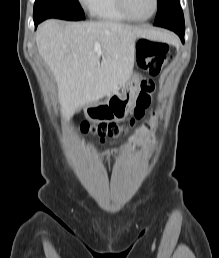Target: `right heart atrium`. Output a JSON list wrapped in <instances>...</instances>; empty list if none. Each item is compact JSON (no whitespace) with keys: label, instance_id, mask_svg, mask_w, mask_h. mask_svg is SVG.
<instances>
[{"label":"right heart atrium","instance_id":"1","mask_svg":"<svg viewBox=\"0 0 219 258\" xmlns=\"http://www.w3.org/2000/svg\"><path fill=\"white\" fill-rule=\"evenodd\" d=\"M79 2L86 10H91L95 0H79Z\"/></svg>","mask_w":219,"mask_h":258}]
</instances>
